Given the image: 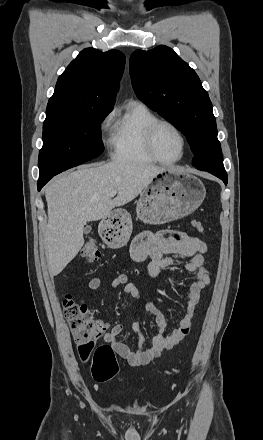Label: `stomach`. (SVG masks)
<instances>
[{
  "label": "stomach",
  "instance_id": "obj_1",
  "mask_svg": "<svg viewBox=\"0 0 263 440\" xmlns=\"http://www.w3.org/2000/svg\"><path fill=\"white\" fill-rule=\"evenodd\" d=\"M206 189L197 177L168 169L155 177L137 201V218L149 224H163L188 216L204 201ZM106 244L118 249L127 244L132 233L129 213L119 209L105 218L99 227Z\"/></svg>",
  "mask_w": 263,
  "mask_h": 440
}]
</instances>
